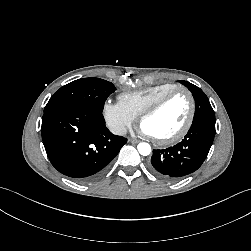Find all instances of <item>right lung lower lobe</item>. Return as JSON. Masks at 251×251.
<instances>
[{
	"mask_svg": "<svg viewBox=\"0 0 251 251\" xmlns=\"http://www.w3.org/2000/svg\"><path fill=\"white\" fill-rule=\"evenodd\" d=\"M41 133L51 164L78 182L101 176L127 142L107 129L102 112L90 108L44 111Z\"/></svg>",
	"mask_w": 251,
	"mask_h": 251,
	"instance_id": "obj_1",
	"label": "right lung lower lobe"
}]
</instances>
